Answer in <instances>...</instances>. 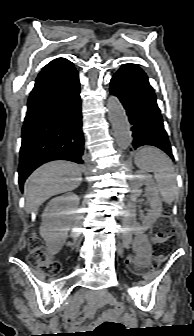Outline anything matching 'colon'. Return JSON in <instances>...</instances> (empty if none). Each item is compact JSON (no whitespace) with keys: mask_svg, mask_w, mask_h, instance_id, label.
<instances>
[{"mask_svg":"<svg viewBox=\"0 0 194 336\" xmlns=\"http://www.w3.org/2000/svg\"><path fill=\"white\" fill-rule=\"evenodd\" d=\"M175 228L166 216L154 226L152 230L151 240L155 246L156 252L160 256L165 255L173 248V236ZM28 260L32 265H35L42 273L54 276L61 271V264L47 250V248L37 238H32L29 243ZM128 264L136 268L134 259L130 258ZM136 270H139L136 268ZM116 319L103 322L100 324L90 336H119L125 330L122 324L124 314V305L117 303L114 306Z\"/></svg>","mask_w":194,"mask_h":336,"instance_id":"obj_1","label":"colon"}]
</instances>
